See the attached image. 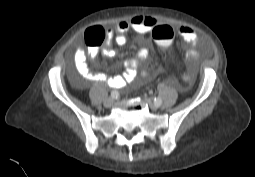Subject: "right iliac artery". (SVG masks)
<instances>
[{
    "label": "right iliac artery",
    "mask_w": 255,
    "mask_h": 177,
    "mask_svg": "<svg viewBox=\"0 0 255 177\" xmlns=\"http://www.w3.org/2000/svg\"><path fill=\"white\" fill-rule=\"evenodd\" d=\"M118 96H119L118 91L113 90V91L111 92V97H112L113 99H117V98H118Z\"/></svg>",
    "instance_id": "1"
}]
</instances>
